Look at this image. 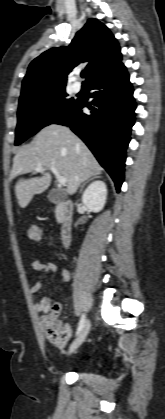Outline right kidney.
Masks as SVG:
<instances>
[{"label": "right kidney", "instance_id": "ca27d5eb", "mask_svg": "<svg viewBox=\"0 0 165 419\" xmlns=\"http://www.w3.org/2000/svg\"><path fill=\"white\" fill-rule=\"evenodd\" d=\"M107 198V187L103 181H95L91 183L82 196L83 204L92 212H100Z\"/></svg>", "mask_w": 165, "mask_h": 419}]
</instances>
